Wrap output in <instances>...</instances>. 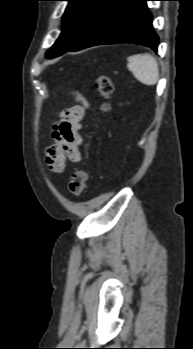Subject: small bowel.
Here are the masks:
<instances>
[{
	"label": "small bowel",
	"instance_id": "1",
	"mask_svg": "<svg viewBox=\"0 0 193 349\" xmlns=\"http://www.w3.org/2000/svg\"><path fill=\"white\" fill-rule=\"evenodd\" d=\"M77 103L61 113L60 120L52 127V144L46 150V163L55 173L64 171L66 161L81 162L80 146L83 138L79 131L89 107L88 102L79 94Z\"/></svg>",
	"mask_w": 193,
	"mask_h": 349
}]
</instances>
